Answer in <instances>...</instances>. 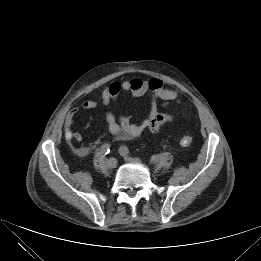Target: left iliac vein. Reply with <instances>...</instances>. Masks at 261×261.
I'll return each mask as SVG.
<instances>
[{"label": "left iliac vein", "instance_id": "left-iliac-vein-1", "mask_svg": "<svg viewBox=\"0 0 261 261\" xmlns=\"http://www.w3.org/2000/svg\"><path fill=\"white\" fill-rule=\"evenodd\" d=\"M120 154L123 156L125 161H128V162H140V160L138 158L130 157L127 154L122 153V152H120Z\"/></svg>", "mask_w": 261, "mask_h": 261}]
</instances>
